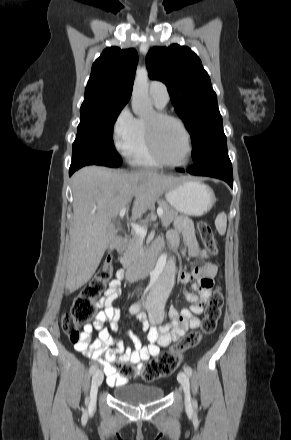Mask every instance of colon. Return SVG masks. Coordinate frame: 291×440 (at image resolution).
<instances>
[{
    "label": "colon",
    "mask_w": 291,
    "mask_h": 440,
    "mask_svg": "<svg viewBox=\"0 0 291 440\" xmlns=\"http://www.w3.org/2000/svg\"><path fill=\"white\" fill-rule=\"evenodd\" d=\"M200 238L206 250L217 255V246L214 233L210 225L200 221L198 223ZM113 274V268L109 261L104 262L98 269L95 277L83 288L75 298L69 312L62 316V329L68 337L75 342H82L83 332L80 331L90 322L96 312L94 300L98 298L105 290L106 284L110 281ZM205 286L209 288L211 283L207 280ZM223 305V294L220 289L214 290L209 296L205 305L203 331L212 333L221 316ZM201 336L199 333H190L180 342L171 346L167 351L160 353L155 360L148 361L138 373L143 380L148 382L157 381L161 378L172 375L182 361L183 351L198 343ZM104 355L101 356L103 358ZM122 374L131 377L133 374L129 369L122 366Z\"/></svg>",
    "instance_id": "obj_1"
}]
</instances>
